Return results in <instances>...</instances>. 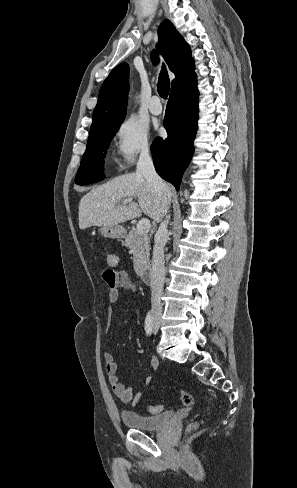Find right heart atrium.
<instances>
[{"instance_id":"obj_1","label":"right heart atrium","mask_w":297,"mask_h":488,"mask_svg":"<svg viewBox=\"0 0 297 488\" xmlns=\"http://www.w3.org/2000/svg\"><path fill=\"white\" fill-rule=\"evenodd\" d=\"M118 160L125 165L151 153L152 143L146 127L136 118H125L115 132Z\"/></svg>"}]
</instances>
